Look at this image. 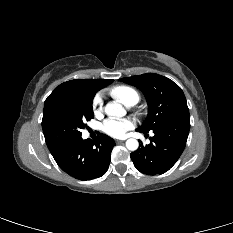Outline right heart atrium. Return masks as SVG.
Masks as SVG:
<instances>
[{
    "mask_svg": "<svg viewBox=\"0 0 233 233\" xmlns=\"http://www.w3.org/2000/svg\"><path fill=\"white\" fill-rule=\"evenodd\" d=\"M92 109L95 114L103 112V98L101 94H96L92 101Z\"/></svg>",
    "mask_w": 233,
    "mask_h": 233,
    "instance_id": "right-heart-atrium-1",
    "label": "right heart atrium"
}]
</instances>
